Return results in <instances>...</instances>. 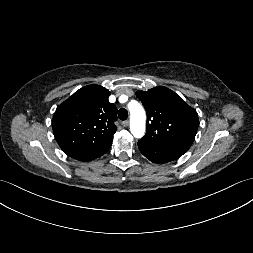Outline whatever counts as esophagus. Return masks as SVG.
Here are the masks:
<instances>
[{"mask_svg":"<svg viewBox=\"0 0 253 253\" xmlns=\"http://www.w3.org/2000/svg\"><path fill=\"white\" fill-rule=\"evenodd\" d=\"M122 125H123L124 127H128V126H129V121H128V120L123 121V122H122Z\"/></svg>","mask_w":253,"mask_h":253,"instance_id":"obj_1","label":"esophagus"}]
</instances>
